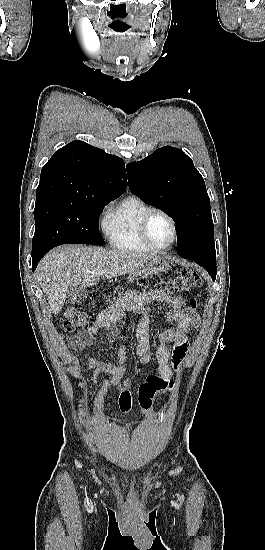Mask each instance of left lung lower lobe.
Wrapping results in <instances>:
<instances>
[{
  "label": "left lung lower lobe",
  "instance_id": "left-lung-lower-lobe-1",
  "mask_svg": "<svg viewBox=\"0 0 265 550\" xmlns=\"http://www.w3.org/2000/svg\"><path fill=\"white\" fill-rule=\"evenodd\" d=\"M189 260L196 262L198 265L203 267L212 277L213 280L216 278V252L211 250H202L198 253L187 255L183 257Z\"/></svg>",
  "mask_w": 265,
  "mask_h": 550
}]
</instances>
